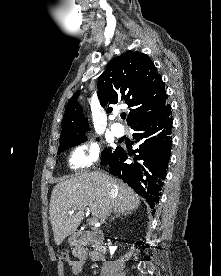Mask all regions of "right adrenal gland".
<instances>
[{"instance_id": "1", "label": "right adrenal gland", "mask_w": 221, "mask_h": 276, "mask_svg": "<svg viewBox=\"0 0 221 276\" xmlns=\"http://www.w3.org/2000/svg\"><path fill=\"white\" fill-rule=\"evenodd\" d=\"M131 213H132V211H126V212L119 213L111 219V222L114 221L116 218H119L121 216H126V215L131 214Z\"/></svg>"}]
</instances>
